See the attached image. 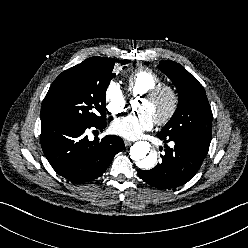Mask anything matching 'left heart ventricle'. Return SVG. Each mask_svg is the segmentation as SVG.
<instances>
[{
  "instance_id": "1",
  "label": "left heart ventricle",
  "mask_w": 248,
  "mask_h": 248,
  "mask_svg": "<svg viewBox=\"0 0 248 248\" xmlns=\"http://www.w3.org/2000/svg\"><path fill=\"white\" fill-rule=\"evenodd\" d=\"M170 98L167 94L161 95L156 100L143 99L139 111L149 113L154 120L162 117L168 110Z\"/></svg>"
}]
</instances>
